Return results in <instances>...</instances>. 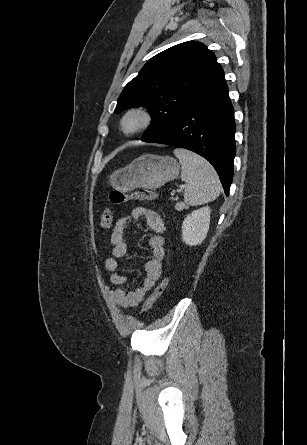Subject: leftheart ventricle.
Returning <instances> with one entry per match:
<instances>
[{
  "label": "left heart ventricle",
  "instance_id": "obj_1",
  "mask_svg": "<svg viewBox=\"0 0 307 445\" xmlns=\"http://www.w3.org/2000/svg\"><path fill=\"white\" fill-rule=\"evenodd\" d=\"M144 123V116L139 112L131 113L124 121L123 129L127 133L137 130Z\"/></svg>",
  "mask_w": 307,
  "mask_h": 445
}]
</instances>
